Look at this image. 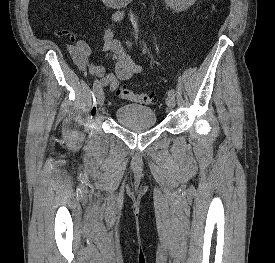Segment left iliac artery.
I'll use <instances>...</instances> for the list:
<instances>
[{"mask_svg": "<svg viewBox=\"0 0 275 263\" xmlns=\"http://www.w3.org/2000/svg\"><path fill=\"white\" fill-rule=\"evenodd\" d=\"M175 90L171 89L168 91V96H175Z\"/></svg>", "mask_w": 275, "mask_h": 263, "instance_id": "left-iliac-artery-1", "label": "left iliac artery"}]
</instances>
